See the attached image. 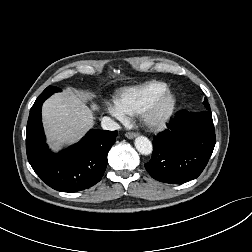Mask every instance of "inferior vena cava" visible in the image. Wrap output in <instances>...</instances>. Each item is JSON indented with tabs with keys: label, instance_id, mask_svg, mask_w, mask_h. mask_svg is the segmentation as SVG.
Instances as JSON below:
<instances>
[{
	"label": "inferior vena cava",
	"instance_id": "obj_1",
	"mask_svg": "<svg viewBox=\"0 0 252 252\" xmlns=\"http://www.w3.org/2000/svg\"><path fill=\"white\" fill-rule=\"evenodd\" d=\"M101 126L103 129L110 130V131L120 129V125L117 122H115L113 119H111L110 117H103L101 121Z\"/></svg>",
	"mask_w": 252,
	"mask_h": 252
}]
</instances>
